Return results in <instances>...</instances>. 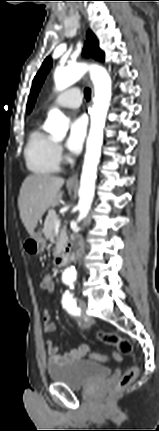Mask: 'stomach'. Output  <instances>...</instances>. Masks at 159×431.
Returning a JSON list of instances; mask_svg holds the SVG:
<instances>
[{"mask_svg": "<svg viewBox=\"0 0 159 431\" xmlns=\"http://www.w3.org/2000/svg\"><path fill=\"white\" fill-rule=\"evenodd\" d=\"M46 246V241L42 236V232L40 229L34 230V233L25 240L24 242V250L28 254H39L41 253Z\"/></svg>", "mask_w": 159, "mask_h": 431, "instance_id": "1", "label": "stomach"}]
</instances>
